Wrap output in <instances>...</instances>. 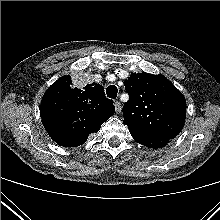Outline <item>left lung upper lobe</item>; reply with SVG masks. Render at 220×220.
Wrapping results in <instances>:
<instances>
[{"instance_id":"obj_1","label":"left lung upper lobe","mask_w":220,"mask_h":220,"mask_svg":"<svg viewBox=\"0 0 220 220\" xmlns=\"http://www.w3.org/2000/svg\"><path fill=\"white\" fill-rule=\"evenodd\" d=\"M129 100L123 106L129 132L174 139L186 118V100L163 75L133 73L125 80Z\"/></svg>"}]
</instances>
